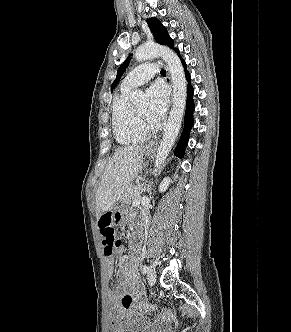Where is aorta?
Masks as SVG:
<instances>
[{
  "mask_svg": "<svg viewBox=\"0 0 291 332\" xmlns=\"http://www.w3.org/2000/svg\"><path fill=\"white\" fill-rule=\"evenodd\" d=\"M134 57L137 61H145L161 57L167 63L171 74L173 84V105L163 138L157 150L154 169V172H157L162 167L180 131L186 105L187 82L179 57L168 47L155 43L144 44L136 49ZM130 99L132 102L138 103L145 101L146 95L141 90L136 89L131 93Z\"/></svg>",
  "mask_w": 291,
  "mask_h": 332,
  "instance_id": "762f6f07",
  "label": "aorta"
}]
</instances>
